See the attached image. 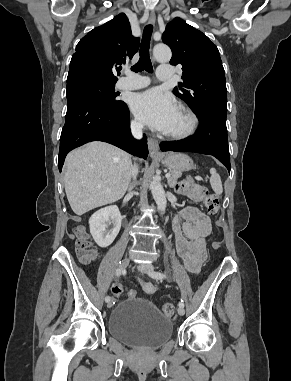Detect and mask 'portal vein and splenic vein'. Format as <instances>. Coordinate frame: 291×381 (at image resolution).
Listing matches in <instances>:
<instances>
[{"label": "portal vein and splenic vein", "instance_id": "1", "mask_svg": "<svg viewBox=\"0 0 291 381\" xmlns=\"http://www.w3.org/2000/svg\"><path fill=\"white\" fill-rule=\"evenodd\" d=\"M171 174L170 173H166L165 177L168 179L170 178Z\"/></svg>", "mask_w": 291, "mask_h": 381}]
</instances>
